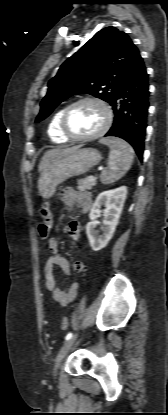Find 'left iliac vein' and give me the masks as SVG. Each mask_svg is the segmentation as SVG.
Instances as JSON below:
<instances>
[{
	"label": "left iliac vein",
	"instance_id": "obj_1",
	"mask_svg": "<svg viewBox=\"0 0 168 415\" xmlns=\"http://www.w3.org/2000/svg\"><path fill=\"white\" fill-rule=\"evenodd\" d=\"M77 339V335H73L70 339H68L63 346L61 347L56 360H55V365H54V376H56L58 368L60 367V364L63 360V358L65 357V355L68 353V351L71 349V347L73 346V344L75 343Z\"/></svg>",
	"mask_w": 168,
	"mask_h": 415
}]
</instances>
